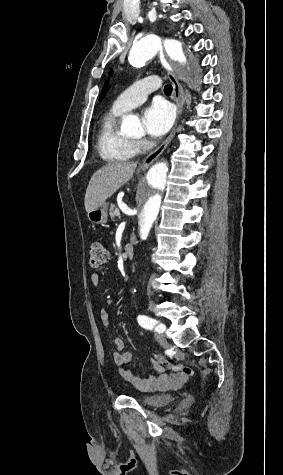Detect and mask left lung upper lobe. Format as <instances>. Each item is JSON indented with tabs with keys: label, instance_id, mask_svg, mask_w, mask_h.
I'll return each instance as SVG.
<instances>
[{
	"label": "left lung upper lobe",
	"instance_id": "obj_1",
	"mask_svg": "<svg viewBox=\"0 0 283 475\" xmlns=\"http://www.w3.org/2000/svg\"><path fill=\"white\" fill-rule=\"evenodd\" d=\"M109 75L112 76V71L109 73ZM109 88H110V86L108 85V83H105V85L103 87V91L100 94L99 100H102L105 97L106 92L109 90Z\"/></svg>",
	"mask_w": 283,
	"mask_h": 475
}]
</instances>
